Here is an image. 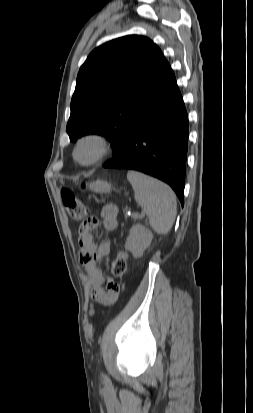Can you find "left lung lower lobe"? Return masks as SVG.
<instances>
[{"mask_svg": "<svg viewBox=\"0 0 253 413\" xmlns=\"http://www.w3.org/2000/svg\"><path fill=\"white\" fill-rule=\"evenodd\" d=\"M118 155L104 168L133 169L169 184L184 204L188 115L169 66L128 122Z\"/></svg>", "mask_w": 253, "mask_h": 413, "instance_id": "1", "label": "left lung lower lobe"}]
</instances>
